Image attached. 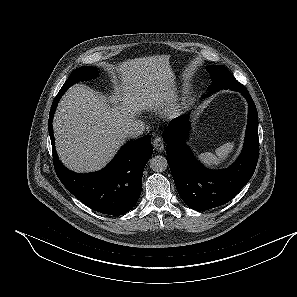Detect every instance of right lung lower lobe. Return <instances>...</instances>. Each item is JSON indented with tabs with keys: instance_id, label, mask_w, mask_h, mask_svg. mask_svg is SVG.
Returning a JSON list of instances; mask_svg holds the SVG:
<instances>
[{
	"instance_id": "obj_1",
	"label": "right lung lower lobe",
	"mask_w": 297,
	"mask_h": 297,
	"mask_svg": "<svg viewBox=\"0 0 297 297\" xmlns=\"http://www.w3.org/2000/svg\"><path fill=\"white\" fill-rule=\"evenodd\" d=\"M64 93L60 89L55 97L48 122L54 168L59 180L70 193L97 212L113 216L127 213L135 206L141 194L143 170L153 153L150 136L125 144L100 171L88 174L72 172L59 161L52 127L54 112Z\"/></svg>"
}]
</instances>
